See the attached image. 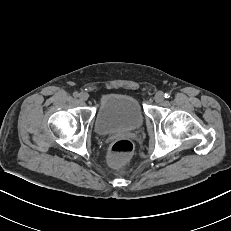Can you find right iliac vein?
<instances>
[{"instance_id": "obj_1", "label": "right iliac vein", "mask_w": 231, "mask_h": 231, "mask_svg": "<svg viewBox=\"0 0 231 231\" xmlns=\"http://www.w3.org/2000/svg\"><path fill=\"white\" fill-rule=\"evenodd\" d=\"M88 94L86 93V92H81L80 94H79V99L81 100V101H87L88 100Z\"/></svg>"}]
</instances>
